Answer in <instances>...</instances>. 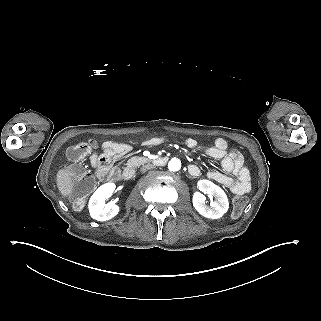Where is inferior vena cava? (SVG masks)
<instances>
[{
  "label": "inferior vena cava",
  "mask_w": 321,
  "mask_h": 321,
  "mask_svg": "<svg viewBox=\"0 0 321 321\" xmlns=\"http://www.w3.org/2000/svg\"><path fill=\"white\" fill-rule=\"evenodd\" d=\"M154 168H155L154 165H152V164H147V165L141 167L140 171H141V173H145V172H147L148 170L154 169Z\"/></svg>",
  "instance_id": "602c4592"
}]
</instances>
